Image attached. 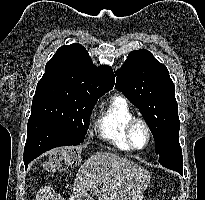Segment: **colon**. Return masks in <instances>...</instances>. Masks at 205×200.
<instances>
[{"label": "colon", "mask_w": 205, "mask_h": 200, "mask_svg": "<svg viewBox=\"0 0 205 200\" xmlns=\"http://www.w3.org/2000/svg\"><path fill=\"white\" fill-rule=\"evenodd\" d=\"M80 162V153L74 147H65L52 153L44 168L48 173L64 171L75 167Z\"/></svg>", "instance_id": "5ec220e1"}]
</instances>
